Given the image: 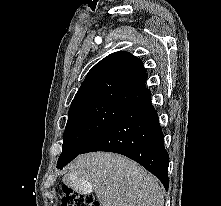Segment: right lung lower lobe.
Masks as SVG:
<instances>
[{
  "label": "right lung lower lobe",
  "mask_w": 221,
  "mask_h": 206,
  "mask_svg": "<svg viewBox=\"0 0 221 206\" xmlns=\"http://www.w3.org/2000/svg\"><path fill=\"white\" fill-rule=\"evenodd\" d=\"M150 97L151 93H148L127 107L80 154L108 151L125 155L157 176L168 190L169 155L164 147L158 115ZM69 162L58 168L62 169Z\"/></svg>",
  "instance_id": "98d812e1"
}]
</instances>
